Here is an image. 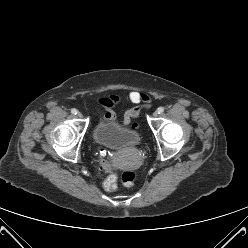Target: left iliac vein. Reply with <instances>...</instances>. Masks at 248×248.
<instances>
[{
    "label": "left iliac vein",
    "mask_w": 248,
    "mask_h": 248,
    "mask_svg": "<svg viewBox=\"0 0 248 248\" xmlns=\"http://www.w3.org/2000/svg\"><path fill=\"white\" fill-rule=\"evenodd\" d=\"M158 114H159L158 111H155V112L153 113V117L156 118V117L158 116Z\"/></svg>",
    "instance_id": "1"
}]
</instances>
